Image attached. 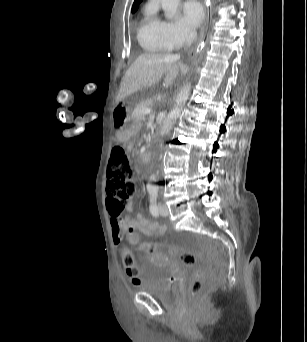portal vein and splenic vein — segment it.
<instances>
[{
    "instance_id": "portal-vein-and-splenic-vein-1",
    "label": "portal vein and splenic vein",
    "mask_w": 307,
    "mask_h": 342,
    "mask_svg": "<svg viewBox=\"0 0 307 342\" xmlns=\"http://www.w3.org/2000/svg\"><path fill=\"white\" fill-rule=\"evenodd\" d=\"M143 113H144V114H151V110H149V108H147V110H144Z\"/></svg>"
}]
</instances>
